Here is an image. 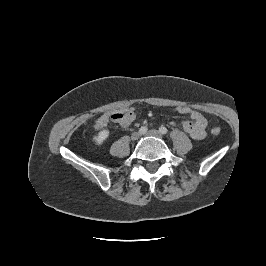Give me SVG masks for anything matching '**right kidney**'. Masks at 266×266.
I'll use <instances>...</instances> for the list:
<instances>
[{
	"instance_id": "obj_1",
	"label": "right kidney",
	"mask_w": 266,
	"mask_h": 266,
	"mask_svg": "<svg viewBox=\"0 0 266 266\" xmlns=\"http://www.w3.org/2000/svg\"><path fill=\"white\" fill-rule=\"evenodd\" d=\"M109 136V130L104 129L101 130L97 136L93 137V141L95 142L96 145H102L103 142L108 138Z\"/></svg>"
}]
</instances>
